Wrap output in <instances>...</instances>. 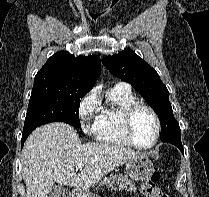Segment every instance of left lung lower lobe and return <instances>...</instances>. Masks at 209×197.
<instances>
[{
    "label": "left lung lower lobe",
    "mask_w": 209,
    "mask_h": 197,
    "mask_svg": "<svg viewBox=\"0 0 209 197\" xmlns=\"http://www.w3.org/2000/svg\"><path fill=\"white\" fill-rule=\"evenodd\" d=\"M168 143H171V144L175 145L176 147H178L180 149V151L184 154L183 145L181 143V140L168 141Z\"/></svg>",
    "instance_id": "obj_1"
}]
</instances>
